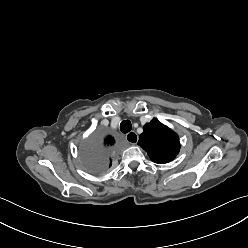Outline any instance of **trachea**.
Segmentation results:
<instances>
[{
	"mask_svg": "<svg viewBox=\"0 0 248 248\" xmlns=\"http://www.w3.org/2000/svg\"><path fill=\"white\" fill-rule=\"evenodd\" d=\"M131 129H132V125L129 120H124L121 122L120 130L122 133H128L129 131H131Z\"/></svg>",
	"mask_w": 248,
	"mask_h": 248,
	"instance_id": "trachea-1",
	"label": "trachea"
}]
</instances>
